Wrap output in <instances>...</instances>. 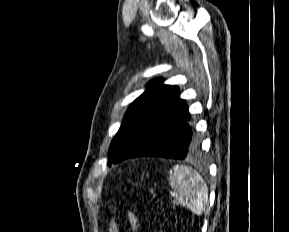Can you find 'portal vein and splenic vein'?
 <instances>
[{"mask_svg":"<svg viewBox=\"0 0 289 232\" xmlns=\"http://www.w3.org/2000/svg\"><path fill=\"white\" fill-rule=\"evenodd\" d=\"M175 196H177L176 193H174V192H171V193H170V197H171V198H173V197H175Z\"/></svg>","mask_w":289,"mask_h":232,"instance_id":"portal-vein-and-splenic-vein-1","label":"portal vein and splenic vein"}]
</instances>
